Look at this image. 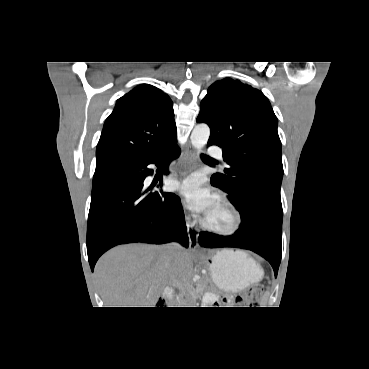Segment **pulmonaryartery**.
Instances as JSON below:
<instances>
[{
    "label": "pulmonary artery",
    "instance_id": "pulmonary-artery-1",
    "mask_svg": "<svg viewBox=\"0 0 369 369\" xmlns=\"http://www.w3.org/2000/svg\"><path fill=\"white\" fill-rule=\"evenodd\" d=\"M208 153L218 159H222V151L220 148L212 146L208 149Z\"/></svg>",
    "mask_w": 369,
    "mask_h": 369
}]
</instances>
